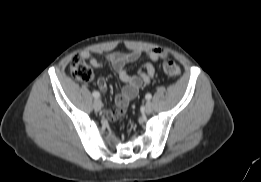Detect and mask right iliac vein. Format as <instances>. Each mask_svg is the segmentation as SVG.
Masks as SVG:
<instances>
[{
    "label": "right iliac vein",
    "instance_id": "1",
    "mask_svg": "<svg viewBox=\"0 0 261 182\" xmlns=\"http://www.w3.org/2000/svg\"><path fill=\"white\" fill-rule=\"evenodd\" d=\"M102 102L99 99H95L93 102V108L95 111H100L102 108Z\"/></svg>",
    "mask_w": 261,
    "mask_h": 182
}]
</instances>
